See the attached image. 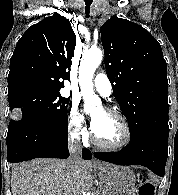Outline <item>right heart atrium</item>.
<instances>
[{"label": "right heart atrium", "instance_id": "obj_1", "mask_svg": "<svg viewBox=\"0 0 178 195\" xmlns=\"http://www.w3.org/2000/svg\"><path fill=\"white\" fill-rule=\"evenodd\" d=\"M68 130L70 137L74 140L84 142L89 137L84 117L79 112L78 105L75 102H73L69 108Z\"/></svg>", "mask_w": 178, "mask_h": 195}]
</instances>
